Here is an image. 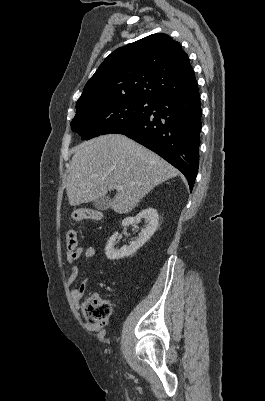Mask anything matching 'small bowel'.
Here are the masks:
<instances>
[{
	"label": "small bowel",
	"mask_w": 265,
	"mask_h": 401,
	"mask_svg": "<svg viewBox=\"0 0 265 401\" xmlns=\"http://www.w3.org/2000/svg\"><path fill=\"white\" fill-rule=\"evenodd\" d=\"M96 253L95 246H87V247H77L73 252H67L66 263L71 267V273L68 277L67 284L69 286L73 285L77 280L79 275V267L77 266V260L83 256L85 259L92 258ZM90 278L84 279L77 287L73 288L70 292L71 299L76 308L79 307V302L86 291L87 285L89 283ZM87 328L90 331H98L100 327L95 325H87Z\"/></svg>",
	"instance_id": "small-bowel-1"
}]
</instances>
